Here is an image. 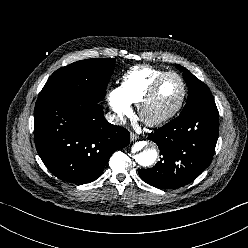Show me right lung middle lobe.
Returning <instances> with one entry per match:
<instances>
[{
	"mask_svg": "<svg viewBox=\"0 0 248 248\" xmlns=\"http://www.w3.org/2000/svg\"><path fill=\"white\" fill-rule=\"evenodd\" d=\"M114 65L113 58H99L81 60L62 67L50 76L38 100L64 97L86 104L99 103L106 94Z\"/></svg>",
	"mask_w": 248,
	"mask_h": 248,
	"instance_id": "1",
	"label": "right lung middle lobe"
}]
</instances>
